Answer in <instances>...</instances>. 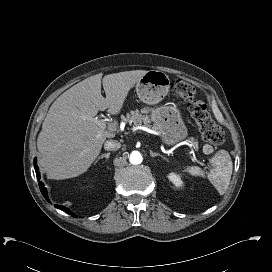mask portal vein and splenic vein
I'll return each instance as SVG.
<instances>
[{"label": "portal vein and splenic vein", "instance_id": "obj_1", "mask_svg": "<svg viewBox=\"0 0 272 272\" xmlns=\"http://www.w3.org/2000/svg\"><path fill=\"white\" fill-rule=\"evenodd\" d=\"M96 122L100 127H102V128L106 127V124H105L106 119H97L96 118ZM189 157L191 158V160L193 162H197V163L201 164L194 155L192 156V155L189 154Z\"/></svg>", "mask_w": 272, "mask_h": 272}]
</instances>
